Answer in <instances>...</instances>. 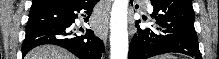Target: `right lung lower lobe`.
<instances>
[{"mask_svg": "<svg viewBox=\"0 0 219 59\" xmlns=\"http://www.w3.org/2000/svg\"><path fill=\"white\" fill-rule=\"evenodd\" d=\"M99 0H69L65 3L41 5L30 10V13L54 12L56 20L47 24L26 29L25 40L22 45L24 57L31 49L44 44L61 46L72 52L79 59H101L104 43L94 35L90 29L86 31L73 27L78 18L76 12L85 10L88 17Z\"/></svg>", "mask_w": 219, "mask_h": 59, "instance_id": "1", "label": "right lung lower lobe"}]
</instances>
